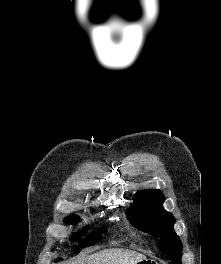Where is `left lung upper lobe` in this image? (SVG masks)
Instances as JSON below:
<instances>
[{
    "label": "left lung upper lobe",
    "instance_id": "5c2ea615",
    "mask_svg": "<svg viewBox=\"0 0 221 264\" xmlns=\"http://www.w3.org/2000/svg\"><path fill=\"white\" fill-rule=\"evenodd\" d=\"M164 198L160 190L138 191L126 215L136 228L161 238L159 250L176 264H181L182 243L173 230V215L162 207Z\"/></svg>",
    "mask_w": 221,
    "mask_h": 264
}]
</instances>
